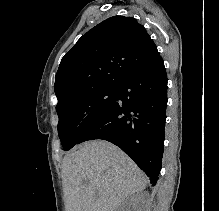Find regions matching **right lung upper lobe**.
<instances>
[{
  "instance_id": "cb5924a9",
  "label": "right lung upper lobe",
  "mask_w": 219,
  "mask_h": 211,
  "mask_svg": "<svg viewBox=\"0 0 219 211\" xmlns=\"http://www.w3.org/2000/svg\"><path fill=\"white\" fill-rule=\"evenodd\" d=\"M159 52L132 17L113 16L84 34L64 55L55 78L58 103L99 87H115Z\"/></svg>"
}]
</instances>
